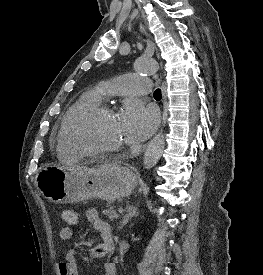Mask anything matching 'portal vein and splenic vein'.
Returning a JSON list of instances; mask_svg holds the SVG:
<instances>
[{
    "instance_id": "obj_1",
    "label": "portal vein and splenic vein",
    "mask_w": 263,
    "mask_h": 275,
    "mask_svg": "<svg viewBox=\"0 0 263 275\" xmlns=\"http://www.w3.org/2000/svg\"><path fill=\"white\" fill-rule=\"evenodd\" d=\"M123 211H124V209H123L122 207H120V208L118 209V212H119V213H123Z\"/></svg>"
}]
</instances>
